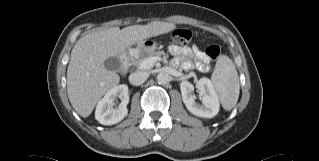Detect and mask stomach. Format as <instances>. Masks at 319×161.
<instances>
[{
	"label": "stomach",
	"mask_w": 319,
	"mask_h": 161,
	"mask_svg": "<svg viewBox=\"0 0 319 161\" xmlns=\"http://www.w3.org/2000/svg\"><path fill=\"white\" fill-rule=\"evenodd\" d=\"M156 49V44L149 40H142L137 43V51H139L142 54H147L154 52Z\"/></svg>",
	"instance_id": "obj_1"
}]
</instances>
